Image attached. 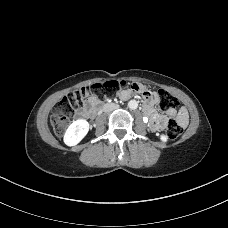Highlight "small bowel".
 Segmentation results:
<instances>
[{"label": "small bowel", "mask_w": 228, "mask_h": 228, "mask_svg": "<svg viewBox=\"0 0 228 228\" xmlns=\"http://www.w3.org/2000/svg\"><path fill=\"white\" fill-rule=\"evenodd\" d=\"M131 96L130 89H124L120 92V97L122 99H128ZM158 102V97L156 94H151L149 97L145 98L144 112L151 118L157 119L158 123L154 125V129L151 130H161L167 125V119L164 116L156 114L153 109L154 104ZM99 103V98L95 94H89L84 100V107L80 109L76 115L78 117H84L91 115ZM169 115L174 117L176 121L182 126H186L188 123V112L185 108H180L178 110L169 111Z\"/></svg>", "instance_id": "c3829d8e"}]
</instances>
